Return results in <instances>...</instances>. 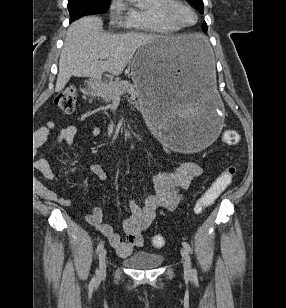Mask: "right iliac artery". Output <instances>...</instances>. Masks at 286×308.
<instances>
[{"label":"right iliac artery","instance_id":"right-iliac-artery-1","mask_svg":"<svg viewBox=\"0 0 286 308\" xmlns=\"http://www.w3.org/2000/svg\"><path fill=\"white\" fill-rule=\"evenodd\" d=\"M104 247V242H100L97 246V253H99ZM95 278L92 279V284L94 283Z\"/></svg>","mask_w":286,"mask_h":308}]
</instances>
